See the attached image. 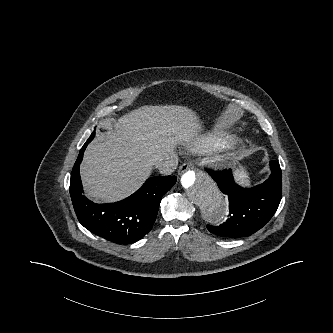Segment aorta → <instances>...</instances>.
Listing matches in <instances>:
<instances>
[{
    "label": "aorta",
    "instance_id": "aorta-1",
    "mask_svg": "<svg viewBox=\"0 0 333 333\" xmlns=\"http://www.w3.org/2000/svg\"><path fill=\"white\" fill-rule=\"evenodd\" d=\"M180 183L186 198L204 220L218 223L225 217V196L206 172L188 170L182 175Z\"/></svg>",
    "mask_w": 333,
    "mask_h": 333
}]
</instances>
